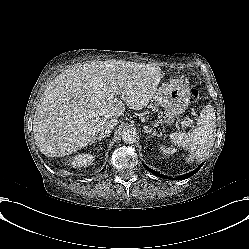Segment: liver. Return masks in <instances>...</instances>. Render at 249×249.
Wrapping results in <instances>:
<instances>
[{
  "instance_id": "liver-1",
  "label": "liver",
  "mask_w": 249,
  "mask_h": 249,
  "mask_svg": "<svg viewBox=\"0 0 249 249\" xmlns=\"http://www.w3.org/2000/svg\"><path fill=\"white\" fill-rule=\"evenodd\" d=\"M159 69L93 62L60 74L45 90L33 123L37 147L65 156L94 143L104 121L118 119L125 105L145 108L160 82Z\"/></svg>"
}]
</instances>
